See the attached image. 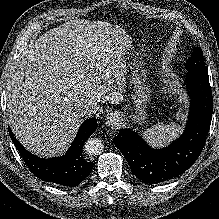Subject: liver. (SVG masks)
Instances as JSON below:
<instances>
[{
    "instance_id": "obj_1",
    "label": "liver",
    "mask_w": 219,
    "mask_h": 219,
    "mask_svg": "<svg viewBox=\"0 0 219 219\" xmlns=\"http://www.w3.org/2000/svg\"><path fill=\"white\" fill-rule=\"evenodd\" d=\"M123 28L107 22L71 20L42 34L12 67L6 97L9 124L29 151L63 154L83 117L79 105L96 111L123 100Z\"/></svg>"
}]
</instances>
